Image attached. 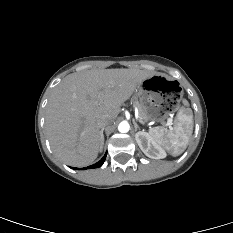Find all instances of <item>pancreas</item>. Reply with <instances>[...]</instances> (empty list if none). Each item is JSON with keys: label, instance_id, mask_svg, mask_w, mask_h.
Here are the masks:
<instances>
[{"label": "pancreas", "instance_id": "cf45deb5", "mask_svg": "<svg viewBox=\"0 0 233 233\" xmlns=\"http://www.w3.org/2000/svg\"><path fill=\"white\" fill-rule=\"evenodd\" d=\"M139 109H140V113H139L140 119L147 121V117H146L144 111L142 110L140 103H139Z\"/></svg>", "mask_w": 233, "mask_h": 233}]
</instances>
